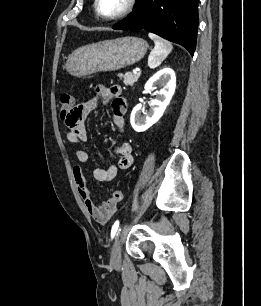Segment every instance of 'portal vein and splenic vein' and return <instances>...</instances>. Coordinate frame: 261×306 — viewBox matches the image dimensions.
<instances>
[{"label": "portal vein and splenic vein", "instance_id": "1", "mask_svg": "<svg viewBox=\"0 0 261 306\" xmlns=\"http://www.w3.org/2000/svg\"><path fill=\"white\" fill-rule=\"evenodd\" d=\"M139 71H140L139 69H134V70H133V73L136 74V73H138Z\"/></svg>", "mask_w": 261, "mask_h": 306}]
</instances>
